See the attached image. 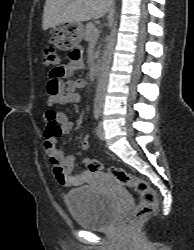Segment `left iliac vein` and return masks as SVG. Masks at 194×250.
<instances>
[{
  "label": "left iliac vein",
  "instance_id": "left-iliac-vein-1",
  "mask_svg": "<svg viewBox=\"0 0 194 250\" xmlns=\"http://www.w3.org/2000/svg\"><path fill=\"white\" fill-rule=\"evenodd\" d=\"M97 135H98L99 139L104 140V138H105V132H104V126H103L102 122L98 123V126H97Z\"/></svg>",
  "mask_w": 194,
  "mask_h": 250
}]
</instances>
